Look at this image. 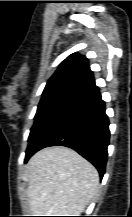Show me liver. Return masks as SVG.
<instances>
[{"label": "liver", "instance_id": "6515ba94", "mask_svg": "<svg viewBox=\"0 0 132 217\" xmlns=\"http://www.w3.org/2000/svg\"><path fill=\"white\" fill-rule=\"evenodd\" d=\"M27 196L35 216H79L97 193L96 168L74 150H40L27 164Z\"/></svg>", "mask_w": 132, "mask_h": 217}]
</instances>
